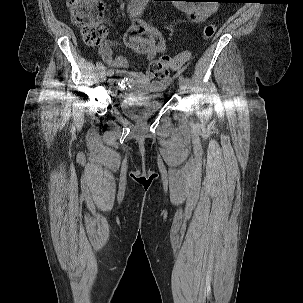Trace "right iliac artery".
<instances>
[{"instance_id": "right-iliac-artery-1", "label": "right iliac artery", "mask_w": 303, "mask_h": 303, "mask_svg": "<svg viewBox=\"0 0 303 303\" xmlns=\"http://www.w3.org/2000/svg\"><path fill=\"white\" fill-rule=\"evenodd\" d=\"M113 74H114V70L109 69V70L107 71V75H108V76H112Z\"/></svg>"}]
</instances>
